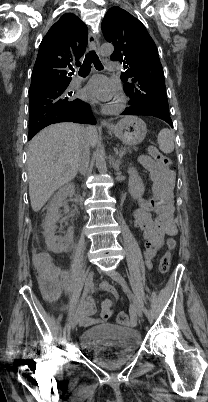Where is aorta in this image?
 Here are the masks:
<instances>
[{
	"label": "aorta",
	"mask_w": 208,
	"mask_h": 402,
	"mask_svg": "<svg viewBox=\"0 0 208 402\" xmlns=\"http://www.w3.org/2000/svg\"><path fill=\"white\" fill-rule=\"evenodd\" d=\"M112 52H113V46H111V48H109L108 50V48H106V44H102L101 48H99V56H102V58H108V56H110ZM95 162L100 173L104 174L106 168V162H105V152L103 148H99V150H96Z\"/></svg>",
	"instance_id": "aorta-1"
}]
</instances>
